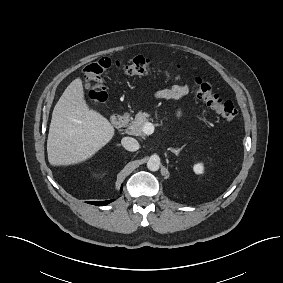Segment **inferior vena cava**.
Listing matches in <instances>:
<instances>
[{
    "label": "inferior vena cava",
    "mask_w": 283,
    "mask_h": 283,
    "mask_svg": "<svg viewBox=\"0 0 283 283\" xmlns=\"http://www.w3.org/2000/svg\"><path fill=\"white\" fill-rule=\"evenodd\" d=\"M122 146L128 151H137L140 147L138 141L132 137H124L121 140Z\"/></svg>",
    "instance_id": "inferior-vena-cava-1"
}]
</instances>
